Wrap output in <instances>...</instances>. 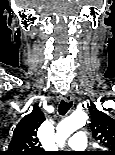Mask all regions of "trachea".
Listing matches in <instances>:
<instances>
[{
    "mask_svg": "<svg viewBox=\"0 0 115 155\" xmlns=\"http://www.w3.org/2000/svg\"><path fill=\"white\" fill-rule=\"evenodd\" d=\"M71 106H72V102H66L62 100L58 109L59 114L65 115L68 112V110L71 108Z\"/></svg>",
    "mask_w": 115,
    "mask_h": 155,
    "instance_id": "3493384b",
    "label": "trachea"
}]
</instances>
